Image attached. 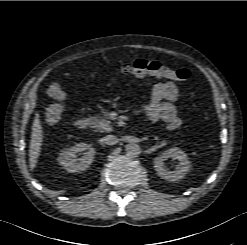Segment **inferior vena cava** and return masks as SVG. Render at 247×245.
Wrapping results in <instances>:
<instances>
[{
    "instance_id": "1",
    "label": "inferior vena cava",
    "mask_w": 247,
    "mask_h": 245,
    "mask_svg": "<svg viewBox=\"0 0 247 245\" xmlns=\"http://www.w3.org/2000/svg\"><path fill=\"white\" fill-rule=\"evenodd\" d=\"M103 142L108 145H114L118 143V138L114 135H107L103 138Z\"/></svg>"
}]
</instances>
